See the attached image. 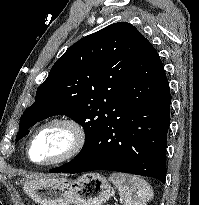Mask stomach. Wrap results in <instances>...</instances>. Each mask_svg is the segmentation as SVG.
<instances>
[{"mask_svg":"<svg viewBox=\"0 0 199 205\" xmlns=\"http://www.w3.org/2000/svg\"><path fill=\"white\" fill-rule=\"evenodd\" d=\"M24 190L38 205H103L113 194V187L100 173L75 180L33 178L24 182Z\"/></svg>","mask_w":199,"mask_h":205,"instance_id":"1","label":"stomach"}]
</instances>
